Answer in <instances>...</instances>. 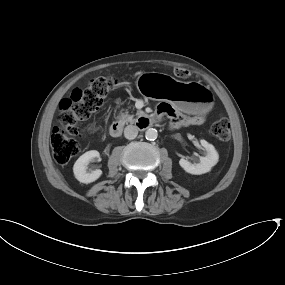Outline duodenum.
Here are the masks:
<instances>
[{
	"instance_id": "duodenum-1",
	"label": "duodenum",
	"mask_w": 285,
	"mask_h": 285,
	"mask_svg": "<svg viewBox=\"0 0 285 285\" xmlns=\"http://www.w3.org/2000/svg\"><path fill=\"white\" fill-rule=\"evenodd\" d=\"M141 123L146 127L151 123V119L148 117H142L140 119ZM123 132V124L119 121L113 122L110 126V134L113 137H120Z\"/></svg>"
}]
</instances>
